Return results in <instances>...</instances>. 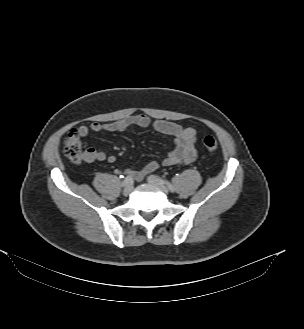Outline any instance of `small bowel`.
<instances>
[{"mask_svg":"<svg viewBox=\"0 0 304 329\" xmlns=\"http://www.w3.org/2000/svg\"><path fill=\"white\" fill-rule=\"evenodd\" d=\"M132 126L152 127L155 131L174 138V148L163 160L164 165L188 164L195 160L196 150V131L191 127H182L179 124L167 120H152L146 115L138 114L127 116L112 122L99 123L94 122L89 126L81 125L77 129L82 137L90 132H122ZM83 160L87 163L94 161H107L114 163L116 157L108 155L105 152L98 151L95 148H88L83 154ZM159 167V162L151 161L144 168L138 171L116 170L117 174H128L136 180H142L146 175L152 173Z\"/></svg>","mask_w":304,"mask_h":329,"instance_id":"c3829d8e","label":"small bowel"}]
</instances>
